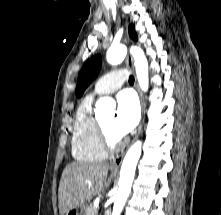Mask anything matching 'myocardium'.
Returning a JSON list of instances; mask_svg holds the SVG:
<instances>
[{
    "instance_id": "obj_1",
    "label": "myocardium",
    "mask_w": 221,
    "mask_h": 215,
    "mask_svg": "<svg viewBox=\"0 0 221 215\" xmlns=\"http://www.w3.org/2000/svg\"><path fill=\"white\" fill-rule=\"evenodd\" d=\"M100 142L106 151H113L121 145V139L112 135L100 121H97Z\"/></svg>"
}]
</instances>
